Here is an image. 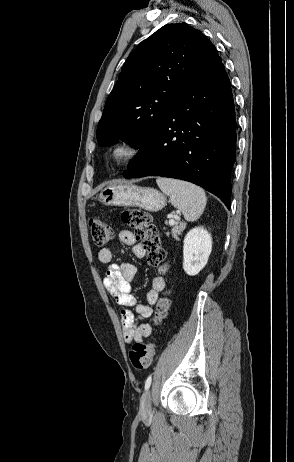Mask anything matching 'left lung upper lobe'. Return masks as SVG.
<instances>
[{"mask_svg":"<svg viewBox=\"0 0 294 462\" xmlns=\"http://www.w3.org/2000/svg\"><path fill=\"white\" fill-rule=\"evenodd\" d=\"M221 62L215 46L186 23L167 24L125 61L97 127L101 146L134 148L154 139L180 94Z\"/></svg>","mask_w":294,"mask_h":462,"instance_id":"5c2ea615","label":"left lung upper lobe"}]
</instances>
